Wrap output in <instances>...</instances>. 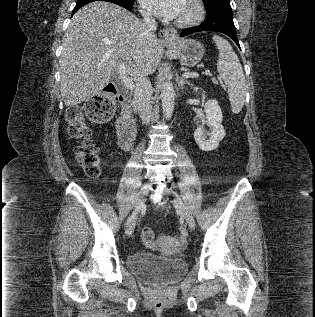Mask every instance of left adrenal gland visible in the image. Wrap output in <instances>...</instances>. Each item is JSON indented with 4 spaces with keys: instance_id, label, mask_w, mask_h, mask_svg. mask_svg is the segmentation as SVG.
<instances>
[{
    "instance_id": "left-adrenal-gland-1",
    "label": "left adrenal gland",
    "mask_w": 315,
    "mask_h": 317,
    "mask_svg": "<svg viewBox=\"0 0 315 317\" xmlns=\"http://www.w3.org/2000/svg\"><path fill=\"white\" fill-rule=\"evenodd\" d=\"M176 81H177V84H178V88L180 90H182L185 85H191L189 81L179 77L178 75H177V80Z\"/></svg>"
}]
</instances>
